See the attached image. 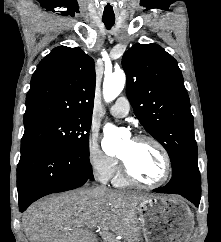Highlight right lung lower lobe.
I'll return each instance as SVG.
<instances>
[{
  "label": "right lung lower lobe",
  "mask_w": 221,
  "mask_h": 242,
  "mask_svg": "<svg viewBox=\"0 0 221 242\" xmlns=\"http://www.w3.org/2000/svg\"><path fill=\"white\" fill-rule=\"evenodd\" d=\"M93 179L89 156L57 145L21 144L17 189L21 212L37 199L78 188Z\"/></svg>",
  "instance_id": "obj_1"
}]
</instances>
